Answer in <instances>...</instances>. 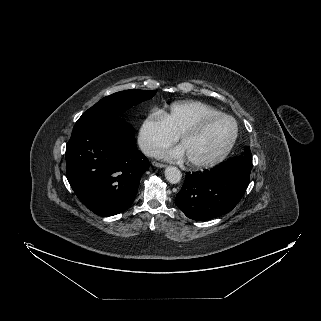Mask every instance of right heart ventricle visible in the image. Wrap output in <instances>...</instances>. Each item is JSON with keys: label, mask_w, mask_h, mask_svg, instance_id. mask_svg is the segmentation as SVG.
<instances>
[{"label": "right heart ventricle", "mask_w": 321, "mask_h": 321, "mask_svg": "<svg viewBox=\"0 0 321 321\" xmlns=\"http://www.w3.org/2000/svg\"><path fill=\"white\" fill-rule=\"evenodd\" d=\"M216 113L221 112L209 104L193 100L174 103L161 112L167 129L176 137L202 117Z\"/></svg>", "instance_id": "right-heart-ventricle-1"}]
</instances>
